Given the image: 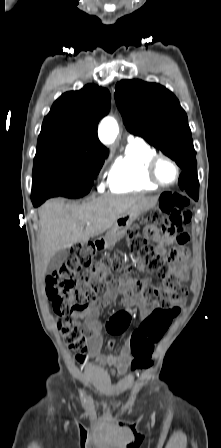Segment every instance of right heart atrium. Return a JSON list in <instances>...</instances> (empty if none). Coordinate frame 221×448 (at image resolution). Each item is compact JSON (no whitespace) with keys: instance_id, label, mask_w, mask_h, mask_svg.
Segmentation results:
<instances>
[{"instance_id":"d8ad5b80","label":"right heart atrium","mask_w":221,"mask_h":448,"mask_svg":"<svg viewBox=\"0 0 221 448\" xmlns=\"http://www.w3.org/2000/svg\"><path fill=\"white\" fill-rule=\"evenodd\" d=\"M103 187V183H100L99 184V188L101 189Z\"/></svg>"}]
</instances>
